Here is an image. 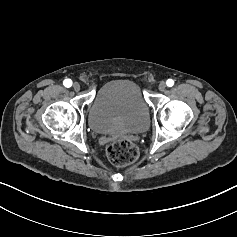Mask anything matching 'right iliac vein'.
<instances>
[{
    "label": "right iliac vein",
    "mask_w": 237,
    "mask_h": 237,
    "mask_svg": "<svg viewBox=\"0 0 237 237\" xmlns=\"http://www.w3.org/2000/svg\"><path fill=\"white\" fill-rule=\"evenodd\" d=\"M80 84L79 83H77V82H75L74 84H73V89H74V91H79L80 90Z\"/></svg>",
    "instance_id": "1"
}]
</instances>
